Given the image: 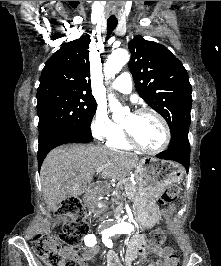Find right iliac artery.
I'll list each match as a JSON object with an SVG mask.
<instances>
[{
	"mask_svg": "<svg viewBox=\"0 0 221 266\" xmlns=\"http://www.w3.org/2000/svg\"><path fill=\"white\" fill-rule=\"evenodd\" d=\"M103 233H105V232H103ZM84 242H85L86 246H89V247H93L97 243L96 237L94 234L86 235L84 238Z\"/></svg>",
	"mask_w": 221,
	"mask_h": 266,
	"instance_id": "1",
	"label": "right iliac artery"
}]
</instances>
